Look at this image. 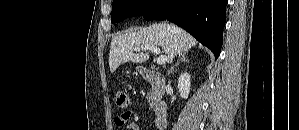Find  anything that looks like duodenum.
I'll use <instances>...</instances> for the list:
<instances>
[{
  "label": "duodenum",
  "instance_id": "1",
  "mask_svg": "<svg viewBox=\"0 0 299 130\" xmlns=\"http://www.w3.org/2000/svg\"><path fill=\"white\" fill-rule=\"evenodd\" d=\"M139 73L142 78L153 87L152 96L154 99L155 124L159 129L166 127L168 115V104L164 97L166 94V84L163 76L147 68H140Z\"/></svg>",
  "mask_w": 299,
  "mask_h": 130
}]
</instances>
